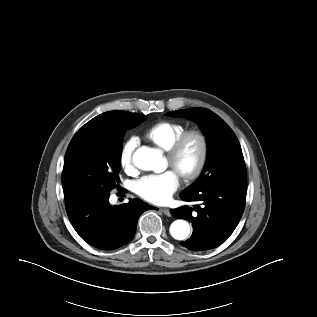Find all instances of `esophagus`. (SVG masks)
Instances as JSON below:
<instances>
[{
	"mask_svg": "<svg viewBox=\"0 0 317 317\" xmlns=\"http://www.w3.org/2000/svg\"><path fill=\"white\" fill-rule=\"evenodd\" d=\"M160 211H161L164 215H166V216H168V217L171 216L170 209H168V208H161Z\"/></svg>",
	"mask_w": 317,
	"mask_h": 317,
	"instance_id": "obj_1",
	"label": "esophagus"
}]
</instances>
